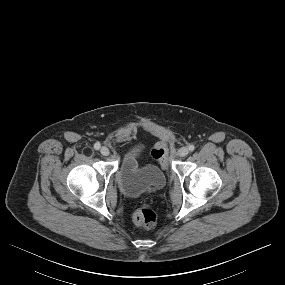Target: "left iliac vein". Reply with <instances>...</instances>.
Here are the masks:
<instances>
[{
    "label": "left iliac vein",
    "instance_id": "obj_1",
    "mask_svg": "<svg viewBox=\"0 0 285 285\" xmlns=\"http://www.w3.org/2000/svg\"><path fill=\"white\" fill-rule=\"evenodd\" d=\"M188 153H189V150H188L187 147H182V148H180L179 151H178V155H179L180 157H185V156L188 155Z\"/></svg>",
    "mask_w": 285,
    "mask_h": 285
}]
</instances>
